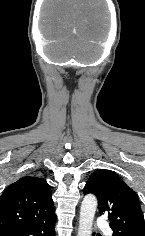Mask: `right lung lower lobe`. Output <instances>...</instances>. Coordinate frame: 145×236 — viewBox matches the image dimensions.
<instances>
[{
	"label": "right lung lower lobe",
	"mask_w": 145,
	"mask_h": 236,
	"mask_svg": "<svg viewBox=\"0 0 145 236\" xmlns=\"http://www.w3.org/2000/svg\"><path fill=\"white\" fill-rule=\"evenodd\" d=\"M56 216L53 215L32 225L9 228L0 231V236H55Z\"/></svg>",
	"instance_id": "obj_1"
}]
</instances>
